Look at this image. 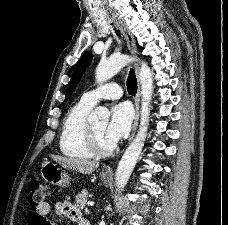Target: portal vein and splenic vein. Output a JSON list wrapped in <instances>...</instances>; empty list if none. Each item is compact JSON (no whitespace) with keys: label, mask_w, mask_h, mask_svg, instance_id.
<instances>
[{"label":"portal vein and splenic vein","mask_w":228,"mask_h":225,"mask_svg":"<svg viewBox=\"0 0 228 225\" xmlns=\"http://www.w3.org/2000/svg\"><path fill=\"white\" fill-rule=\"evenodd\" d=\"M87 205H89V207H93L94 203H87Z\"/></svg>","instance_id":"1"}]
</instances>
